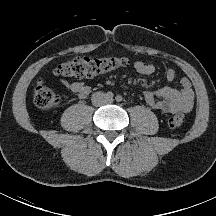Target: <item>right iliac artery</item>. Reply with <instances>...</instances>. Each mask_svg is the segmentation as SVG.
<instances>
[{
  "label": "right iliac artery",
  "instance_id": "right-iliac-artery-1",
  "mask_svg": "<svg viewBox=\"0 0 216 216\" xmlns=\"http://www.w3.org/2000/svg\"><path fill=\"white\" fill-rule=\"evenodd\" d=\"M106 96L108 99H112L114 97V94L111 91H109L106 93Z\"/></svg>",
  "mask_w": 216,
  "mask_h": 216
}]
</instances>
